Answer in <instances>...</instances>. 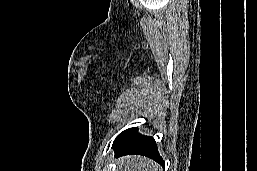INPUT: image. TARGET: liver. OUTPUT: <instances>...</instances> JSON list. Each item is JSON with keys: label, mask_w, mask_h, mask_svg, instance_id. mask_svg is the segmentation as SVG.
<instances>
[{"label": "liver", "mask_w": 257, "mask_h": 171, "mask_svg": "<svg viewBox=\"0 0 257 171\" xmlns=\"http://www.w3.org/2000/svg\"><path fill=\"white\" fill-rule=\"evenodd\" d=\"M117 164L123 165L121 171H160L158 164L143 156H125Z\"/></svg>", "instance_id": "6515ba94"}]
</instances>
